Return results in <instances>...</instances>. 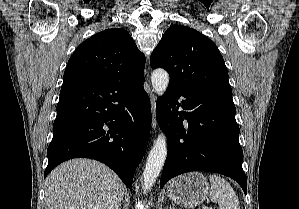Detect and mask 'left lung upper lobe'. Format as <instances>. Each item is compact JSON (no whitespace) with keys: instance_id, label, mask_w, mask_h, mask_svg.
<instances>
[{"instance_id":"5c2ea615","label":"left lung upper lobe","mask_w":299,"mask_h":209,"mask_svg":"<svg viewBox=\"0 0 299 209\" xmlns=\"http://www.w3.org/2000/svg\"><path fill=\"white\" fill-rule=\"evenodd\" d=\"M152 68H164L169 84L231 90L228 71L217 46L198 31L173 25L151 54Z\"/></svg>"}]
</instances>
